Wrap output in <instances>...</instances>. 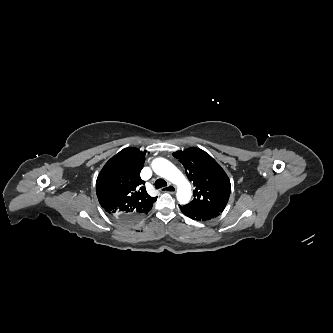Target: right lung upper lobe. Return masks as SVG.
Returning a JSON list of instances; mask_svg holds the SVG:
<instances>
[{"instance_id":"right-lung-upper-lobe-1","label":"right lung upper lobe","mask_w":333,"mask_h":333,"mask_svg":"<svg viewBox=\"0 0 333 333\" xmlns=\"http://www.w3.org/2000/svg\"><path fill=\"white\" fill-rule=\"evenodd\" d=\"M145 153L128 147L113 156L103 167L96 181L100 205L111 216L147 214L157 197L148 195L140 171Z\"/></svg>"}]
</instances>
